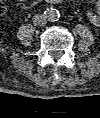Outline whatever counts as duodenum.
<instances>
[{
    "instance_id": "1",
    "label": "duodenum",
    "mask_w": 100,
    "mask_h": 118,
    "mask_svg": "<svg viewBox=\"0 0 100 118\" xmlns=\"http://www.w3.org/2000/svg\"><path fill=\"white\" fill-rule=\"evenodd\" d=\"M62 0H54L52 3H60Z\"/></svg>"
}]
</instances>
